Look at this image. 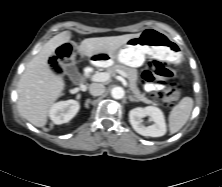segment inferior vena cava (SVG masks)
Here are the masks:
<instances>
[{"mask_svg":"<svg viewBox=\"0 0 222 187\" xmlns=\"http://www.w3.org/2000/svg\"><path fill=\"white\" fill-rule=\"evenodd\" d=\"M89 91L93 96H100L105 92V86L100 83H92L89 86Z\"/></svg>","mask_w":222,"mask_h":187,"instance_id":"1","label":"inferior vena cava"}]
</instances>
